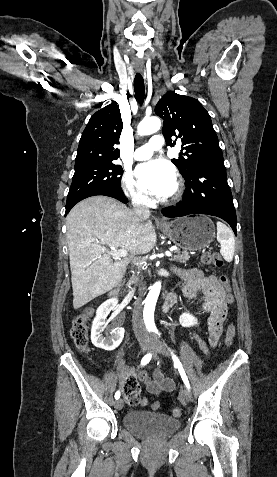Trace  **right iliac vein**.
<instances>
[{"label": "right iliac vein", "mask_w": 277, "mask_h": 477, "mask_svg": "<svg viewBox=\"0 0 277 477\" xmlns=\"http://www.w3.org/2000/svg\"><path fill=\"white\" fill-rule=\"evenodd\" d=\"M140 347H141V352H143V353H146L150 350V344L146 341H142L140 343ZM123 405H124V402H123L122 399H118L114 403L115 408L118 409V410L122 409Z\"/></svg>", "instance_id": "63e3f726"}]
</instances>
